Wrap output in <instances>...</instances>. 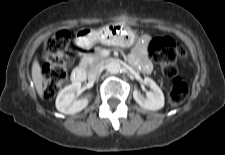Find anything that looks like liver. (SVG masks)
I'll use <instances>...</instances> for the list:
<instances>
[{
	"label": "liver",
	"mask_w": 225,
	"mask_h": 155,
	"mask_svg": "<svg viewBox=\"0 0 225 155\" xmlns=\"http://www.w3.org/2000/svg\"><path fill=\"white\" fill-rule=\"evenodd\" d=\"M32 79L35 85V88L37 90V93L40 97L43 96V85H42V74H41V68L39 65L38 60H35L32 65Z\"/></svg>",
	"instance_id": "1"
}]
</instances>
